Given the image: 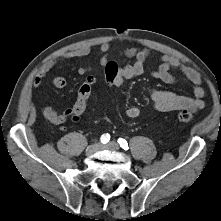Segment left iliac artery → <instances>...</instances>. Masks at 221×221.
Returning <instances> with one entry per match:
<instances>
[{"instance_id": "1", "label": "left iliac artery", "mask_w": 221, "mask_h": 221, "mask_svg": "<svg viewBox=\"0 0 221 221\" xmlns=\"http://www.w3.org/2000/svg\"><path fill=\"white\" fill-rule=\"evenodd\" d=\"M118 143L120 144V146L124 149V150H128V143L125 139L119 138L118 139Z\"/></svg>"}]
</instances>
